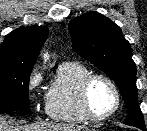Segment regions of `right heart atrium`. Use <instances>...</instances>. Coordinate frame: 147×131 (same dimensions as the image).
<instances>
[{
	"label": "right heart atrium",
	"mask_w": 147,
	"mask_h": 131,
	"mask_svg": "<svg viewBox=\"0 0 147 131\" xmlns=\"http://www.w3.org/2000/svg\"><path fill=\"white\" fill-rule=\"evenodd\" d=\"M42 82V76L38 71H33L28 79L27 82V91L30 100L34 103L35 108L38 113L40 114H48V107H47V101L41 105L39 104L37 100V94L40 87V84Z\"/></svg>",
	"instance_id": "right-heart-atrium-1"
}]
</instances>
